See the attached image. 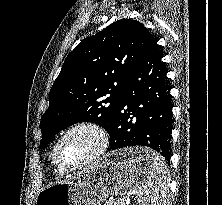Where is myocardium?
Wrapping results in <instances>:
<instances>
[{"mask_svg":"<svg viewBox=\"0 0 222 205\" xmlns=\"http://www.w3.org/2000/svg\"><path fill=\"white\" fill-rule=\"evenodd\" d=\"M77 130H89L92 133H94L97 137V145L96 148L87 156L85 157L81 162L78 164L72 166V167H63L59 164L56 152L58 149V146L60 143L71 133ZM109 143V136L107 131L104 129L103 126L96 122L92 121H80L77 123H74L73 125L69 126L56 140V142L53 145L52 151H51V159L56 167V169L61 173H71L74 171H77L79 169H82L89 164L93 163L97 159H99L102 154L105 152L107 146Z\"/></svg>","mask_w":222,"mask_h":205,"instance_id":"f54148a6","label":"myocardium"}]
</instances>
